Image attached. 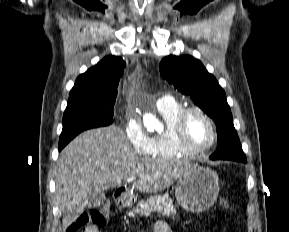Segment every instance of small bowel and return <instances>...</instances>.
Wrapping results in <instances>:
<instances>
[{"mask_svg": "<svg viewBox=\"0 0 289 232\" xmlns=\"http://www.w3.org/2000/svg\"><path fill=\"white\" fill-rule=\"evenodd\" d=\"M154 232H172L171 228L164 222L158 221L153 225ZM84 232H100L99 227L90 225L87 226Z\"/></svg>", "mask_w": 289, "mask_h": 232, "instance_id": "c3829d8e", "label": "small bowel"}]
</instances>
